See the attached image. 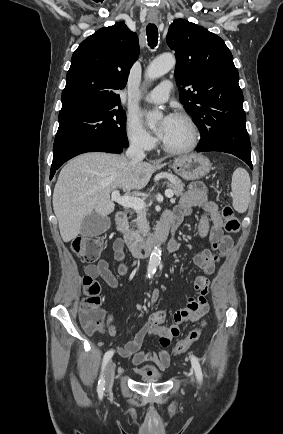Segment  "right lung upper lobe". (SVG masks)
<instances>
[{
  "label": "right lung upper lobe",
  "mask_w": 283,
  "mask_h": 434,
  "mask_svg": "<svg viewBox=\"0 0 283 434\" xmlns=\"http://www.w3.org/2000/svg\"><path fill=\"white\" fill-rule=\"evenodd\" d=\"M139 43L124 22L101 28L71 58L59 116L120 107L117 90L126 86Z\"/></svg>",
  "instance_id": "obj_1"
}]
</instances>
